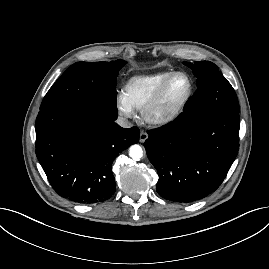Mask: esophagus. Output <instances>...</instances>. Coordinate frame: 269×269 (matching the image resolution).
I'll use <instances>...</instances> for the list:
<instances>
[{"label": "esophagus", "mask_w": 269, "mask_h": 269, "mask_svg": "<svg viewBox=\"0 0 269 269\" xmlns=\"http://www.w3.org/2000/svg\"><path fill=\"white\" fill-rule=\"evenodd\" d=\"M147 138H148V134H147V132H145V131H141V133H140V138H139L140 142H141V143L145 142V141L147 140Z\"/></svg>", "instance_id": "esophagus-1"}]
</instances>
